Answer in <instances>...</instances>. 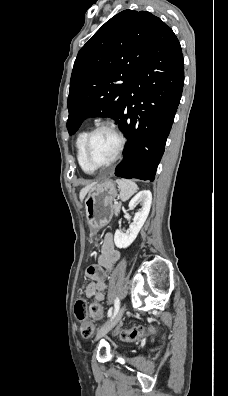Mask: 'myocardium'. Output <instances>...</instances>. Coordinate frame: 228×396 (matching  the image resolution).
Returning <instances> with one entry per match:
<instances>
[{
  "label": "myocardium",
  "mask_w": 228,
  "mask_h": 396,
  "mask_svg": "<svg viewBox=\"0 0 228 396\" xmlns=\"http://www.w3.org/2000/svg\"><path fill=\"white\" fill-rule=\"evenodd\" d=\"M103 129H108L114 133V135L117 137V140H118V146H117V150H116L113 158L108 163H106L104 165H94L90 160L89 148H90V144H91V141H92L94 135L98 131L103 130ZM124 145H125V139H124L123 135L121 134V132L117 129V127L110 122H101L98 125H96L92 130L89 131V133L85 139L84 146H83V156H84L85 163L93 171L106 169L117 162V160L120 158V156L122 154Z\"/></svg>",
  "instance_id": "f54148a6"
}]
</instances>
